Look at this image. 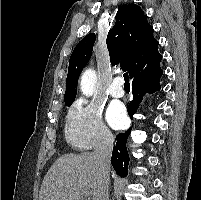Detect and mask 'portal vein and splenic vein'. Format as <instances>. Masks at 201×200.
<instances>
[{
  "mask_svg": "<svg viewBox=\"0 0 201 200\" xmlns=\"http://www.w3.org/2000/svg\"><path fill=\"white\" fill-rule=\"evenodd\" d=\"M83 192H84V194H85L86 197H90L91 196V193H90V191L88 189L84 188Z\"/></svg>",
  "mask_w": 201,
  "mask_h": 200,
  "instance_id": "portal-vein-and-splenic-vein-1",
  "label": "portal vein and splenic vein"
}]
</instances>
